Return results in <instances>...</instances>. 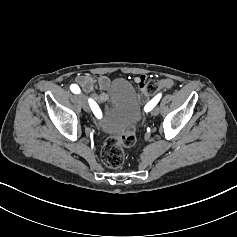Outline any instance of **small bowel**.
Returning <instances> with one entry per match:
<instances>
[{"mask_svg":"<svg viewBox=\"0 0 237 237\" xmlns=\"http://www.w3.org/2000/svg\"><path fill=\"white\" fill-rule=\"evenodd\" d=\"M135 82L138 85L142 98L144 100L147 99V96L145 95L147 76H138L135 78ZM76 83L92 98L91 100L95 102L98 108L108 100L105 91L110 87L111 80L107 76L99 75L96 78H93L90 75L81 74L76 77ZM160 85L163 88H170L174 85V81L172 79H163L160 81ZM97 87L101 92L97 91Z\"/></svg>","mask_w":237,"mask_h":237,"instance_id":"obj_1","label":"small bowel"}]
</instances>
